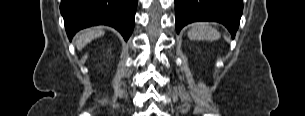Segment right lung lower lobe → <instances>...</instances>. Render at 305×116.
<instances>
[{
  "label": "right lung lower lobe",
  "instance_id": "obj_1",
  "mask_svg": "<svg viewBox=\"0 0 305 116\" xmlns=\"http://www.w3.org/2000/svg\"><path fill=\"white\" fill-rule=\"evenodd\" d=\"M137 0H62L60 11L67 35L95 25H108L128 40L134 28Z\"/></svg>",
  "mask_w": 305,
  "mask_h": 116
}]
</instances>
